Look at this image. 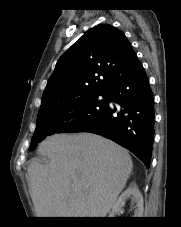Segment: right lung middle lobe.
Returning a JSON list of instances; mask_svg holds the SVG:
<instances>
[{"mask_svg":"<svg viewBox=\"0 0 181 227\" xmlns=\"http://www.w3.org/2000/svg\"><path fill=\"white\" fill-rule=\"evenodd\" d=\"M108 102V91H103L39 110L29 150H34L39 142L55 133L80 132L106 110Z\"/></svg>","mask_w":181,"mask_h":227,"instance_id":"obj_1","label":"right lung middle lobe"}]
</instances>
